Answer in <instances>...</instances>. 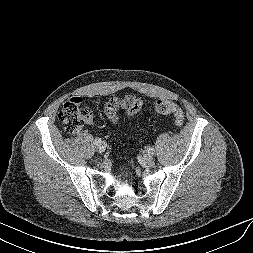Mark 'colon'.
Here are the masks:
<instances>
[{
    "instance_id": "colon-1",
    "label": "colon",
    "mask_w": 253,
    "mask_h": 253,
    "mask_svg": "<svg viewBox=\"0 0 253 253\" xmlns=\"http://www.w3.org/2000/svg\"><path fill=\"white\" fill-rule=\"evenodd\" d=\"M155 110L160 115H173L177 125H182L184 122L185 116L182 108L173 101L158 100L155 104ZM59 120L62 122L66 132L77 133L85 124L92 123L94 116L88 108L82 105L80 98L74 97L63 104L59 111Z\"/></svg>"
}]
</instances>
